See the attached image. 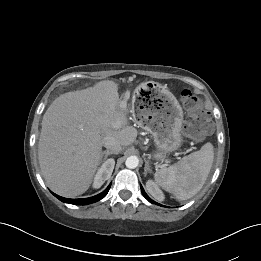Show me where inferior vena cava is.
I'll return each instance as SVG.
<instances>
[{
    "instance_id": "obj_1",
    "label": "inferior vena cava",
    "mask_w": 261,
    "mask_h": 261,
    "mask_svg": "<svg viewBox=\"0 0 261 261\" xmlns=\"http://www.w3.org/2000/svg\"><path fill=\"white\" fill-rule=\"evenodd\" d=\"M103 145L105 148L115 152L116 154H118L122 150L120 143L112 136L105 137L103 140Z\"/></svg>"
}]
</instances>
